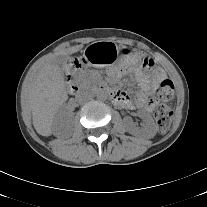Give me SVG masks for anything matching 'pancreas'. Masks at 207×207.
I'll use <instances>...</instances> for the list:
<instances>
[{
  "mask_svg": "<svg viewBox=\"0 0 207 207\" xmlns=\"http://www.w3.org/2000/svg\"><path fill=\"white\" fill-rule=\"evenodd\" d=\"M84 74L86 75L85 84H90L92 82L93 72L87 71V72H84Z\"/></svg>",
  "mask_w": 207,
  "mask_h": 207,
  "instance_id": "1",
  "label": "pancreas"
}]
</instances>
